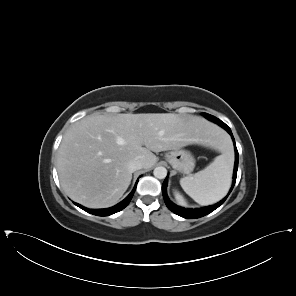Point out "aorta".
Here are the masks:
<instances>
[{
  "label": "aorta",
  "instance_id": "1",
  "mask_svg": "<svg viewBox=\"0 0 296 296\" xmlns=\"http://www.w3.org/2000/svg\"><path fill=\"white\" fill-rule=\"evenodd\" d=\"M153 174L158 179H164L167 176V169L163 166L156 167Z\"/></svg>",
  "mask_w": 296,
  "mask_h": 296
}]
</instances>
